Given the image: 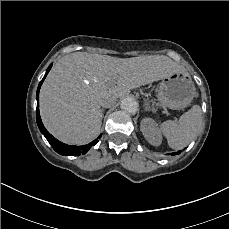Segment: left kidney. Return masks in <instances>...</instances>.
Here are the masks:
<instances>
[{"label":"left kidney","mask_w":229,"mask_h":229,"mask_svg":"<svg viewBox=\"0 0 229 229\" xmlns=\"http://www.w3.org/2000/svg\"><path fill=\"white\" fill-rule=\"evenodd\" d=\"M141 132L145 139L153 146H159L162 143L161 131L157 123L151 118H144L141 121Z\"/></svg>","instance_id":"1"}]
</instances>
